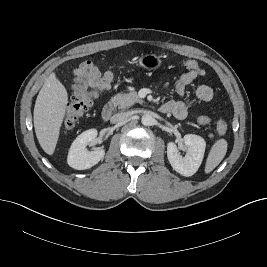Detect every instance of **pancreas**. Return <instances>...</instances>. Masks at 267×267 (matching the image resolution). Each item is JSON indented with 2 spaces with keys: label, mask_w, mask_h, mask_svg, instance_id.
<instances>
[{
  "label": "pancreas",
  "mask_w": 267,
  "mask_h": 267,
  "mask_svg": "<svg viewBox=\"0 0 267 267\" xmlns=\"http://www.w3.org/2000/svg\"><path fill=\"white\" fill-rule=\"evenodd\" d=\"M111 102L118 106L120 109H126L130 106H132L135 103H143V101L138 97L136 92H130V93H118L115 95Z\"/></svg>",
  "instance_id": "obj_1"
}]
</instances>
